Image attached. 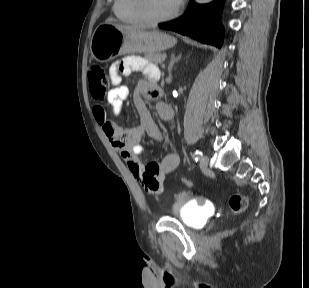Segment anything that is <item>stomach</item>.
<instances>
[{
  "mask_svg": "<svg viewBox=\"0 0 309 288\" xmlns=\"http://www.w3.org/2000/svg\"><path fill=\"white\" fill-rule=\"evenodd\" d=\"M176 43L174 37L159 31L103 23L91 37L90 53L96 61L104 63L122 54H155Z\"/></svg>",
  "mask_w": 309,
  "mask_h": 288,
  "instance_id": "obj_1",
  "label": "stomach"
}]
</instances>
